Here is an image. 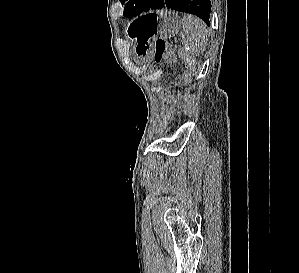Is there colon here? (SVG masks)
I'll list each match as a JSON object with an SVG mask.
<instances>
[{
	"mask_svg": "<svg viewBox=\"0 0 299 273\" xmlns=\"http://www.w3.org/2000/svg\"><path fill=\"white\" fill-rule=\"evenodd\" d=\"M155 59L157 62H172L175 59V53L170 45L164 40H157L155 43Z\"/></svg>",
	"mask_w": 299,
	"mask_h": 273,
	"instance_id": "obj_1",
	"label": "colon"
}]
</instances>
